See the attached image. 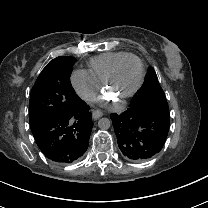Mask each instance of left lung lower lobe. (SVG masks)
Here are the masks:
<instances>
[{"mask_svg":"<svg viewBox=\"0 0 208 208\" xmlns=\"http://www.w3.org/2000/svg\"><path fill=\"white\" fill-rule=\"evenodd\" d=\"M119 149L131 161H146L162 149L170 117L151 110L129 107L111 114Z\"/></svg>","mask_w":208,"mask_h":208,"instance_id":"obj_1","label":"left lung lower lobe"}]
</instances>
